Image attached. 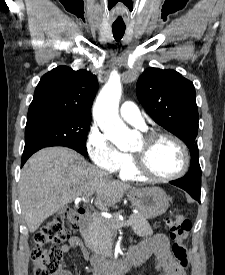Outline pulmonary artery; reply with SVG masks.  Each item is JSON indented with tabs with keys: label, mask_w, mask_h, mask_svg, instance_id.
<instances>
[{
	"label": "pulmonary artery",
	"mask_w": 225,
	"mask_h": 275,
	"mask_svg": "<svg viewBox=\"0 0 225 275\" xmlns=\"http://www.w3.org/2000/svg\"><path fill=\"white\" fill-rule=\"evenodd\" d=\"M120 115L125 121L129 122L130 124H133L138 127L145 126L144 119L138 107L133 101H125L121 105Z\"/></svg>",
	"instance_id": "e3ab8cb5"
}]
</instances>
